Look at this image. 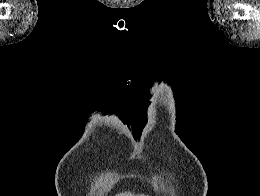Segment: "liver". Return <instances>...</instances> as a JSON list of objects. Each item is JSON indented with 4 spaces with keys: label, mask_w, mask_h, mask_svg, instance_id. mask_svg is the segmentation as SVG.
<instances>
[{
    "label": "liver",
    "mask_w": 260,
    "mask_h": 196,
    "mask_svg": "<svg viewBox=\"0 0 260 196\" xmlns=\"http://www.w3.org/2000/svg\"><path fill=\"white\" fill-rule=\"evenodd\" d=\"M116 196H134L131 192H124V194H116ZM137 196H144V194H137Z\"/></svg>",
    "instance_id": "obj_1"
}]
</instances>
